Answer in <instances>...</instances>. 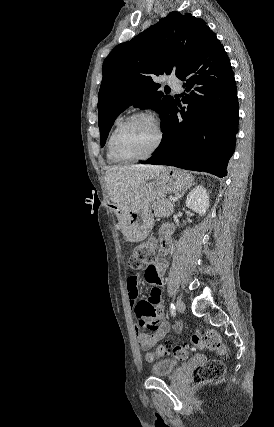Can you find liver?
<instances>
[{
	"instance_id": "6515ba94",
	"label": "liver",
	"mask_w": 274,
	"mask_h": 427,
	"mask_svg": "<svg viewBox=\"0 0 274 427\" xmlns=\"http://www.w3.org/2000/svg\"><path fill=\"white\" fill-rule=\"evenodd\" d=\"M164 166H109L105 174L108 196L114 204L131 202L143 180H152Z\"/></svg>"
}]
</instances>
